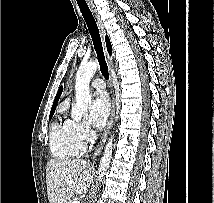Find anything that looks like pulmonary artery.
Wrapping results in <instances>:
<instances>
[{
	"label": "pulmonary artery",
	"mask_w": 214,
	"mask_h": 203,
	"mask_svg": "<svg viewBox=\"0 0 214 203\" xmlns=\"http://www.w3.org/2000/svg\"><path fill=\"white\" fill-rule=\"evenodd\" d=\"M91 86L95 89L101 90L105 88V83L102 79H94Z\"/></svg>",
	"instance_id": "pulmonary-artery-1"
}]
</instances>
